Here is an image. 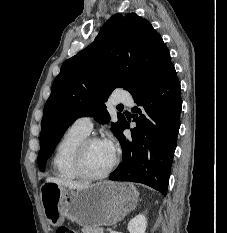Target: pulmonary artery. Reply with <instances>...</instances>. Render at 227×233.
Instances as JSON below:
<instances>
[{
  "label": "pulmonary artery",
  "instance_id": "e3ab8cb5",
  "mask_svg": "<svg viewBox=\"0 0 227 233\" xmlns=\"http://www.w3.org/2000/svg\"><path fill=\"white\" fill-rule=\"evenodd\" d=\"M117 102L126 104L128 106H132L133 105V100L132 98L127 95V94H122L120 95L117 99ZM92 119L89 116H82L79 117L78 119L75 120V122L73 123L72 127L83 132L86 134H89L92 130Z\"/></svg>",
  "mask_w": 227,
  "mask_h": 233
}]
</instances>
